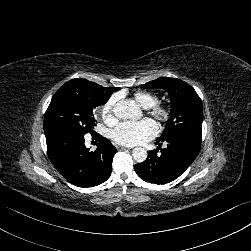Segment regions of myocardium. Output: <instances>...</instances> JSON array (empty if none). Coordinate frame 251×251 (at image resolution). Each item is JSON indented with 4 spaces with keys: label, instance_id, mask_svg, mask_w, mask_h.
I'll return each mask as SVG.
<instances>
[{
    "label": "myocardium",
    "instance_id": "obj_1",
    "mask_svg": "<svg viewBox=\"0 0 251 251\" xmlns=\"http://www.w3.org/2000/svg\"><path fill=\"white\" fill-rule=\"evenodd\" d=\"M147 113L162 124L169 123L174 116L172 107L168 104L161 103L155 104L149 108Z\"/></svg>",
    "mask_w": 251,
    "mask_h": 251
}]
</instances>
